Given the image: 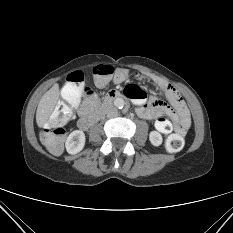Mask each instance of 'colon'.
Instances as JSON below:
<instances>
[{"mask_svg":"<svg viewBox=\"0 0 233 233\" xmlns=\"http://www.w3.org/2000/svg\"><path fill=\"white\" fill-rule=\"evenodd\" d=\"M92 73L95 84L102 87L110 81L115 69L109 65H97ZM82 94L90 100H96L95 91L84 84V74L81 71H74L68 75L61 90V100L41 133V141L54 154L60 153L63 148L65 125L71 119L73 108L77 106ZM165 146L171 152L180 151L184 146V139L178 134H172L166 139Z\"/></svg>","mask_w":233,"mask_h":233,"instance_id":"obj_1","label":"colon"}]
</instances>
